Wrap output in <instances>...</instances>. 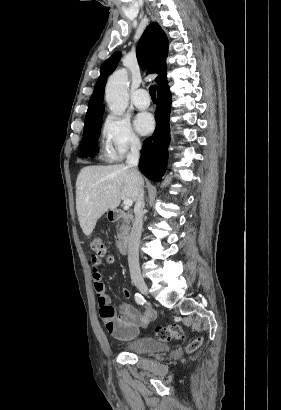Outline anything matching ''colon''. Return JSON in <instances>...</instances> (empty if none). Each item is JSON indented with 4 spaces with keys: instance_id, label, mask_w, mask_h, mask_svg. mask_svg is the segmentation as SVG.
I'll return each instance as SVG.
<instances>
[{
    "instance_id": "colon-1",
    "label": "colon",
    "mask_w": 281,
    "mask_h": 410,
    "mask_svg": "<svg viewBox=\"0 0 281 410\" xmlns=\"http://www.w3.org/2000/svg\"><path fill=\"white\" fill-rule=\"evenodd\" d=\"M92 250L100 257H106L109 261H112L113 258L108 255L106 246L102 239L95 238L91 243ZM103 314L107 316V318L113 317L112 310H103ZM106 328L110 330L113 326L111 321L104 322ZM155 337L163 342H171V341H181L184 338V331L180 325L177 324H170L166 326H157L154 329ZM202 343L201 338H197L191 341L187 347L188 352H194Z\"/></svg>"
}]
</instances>
